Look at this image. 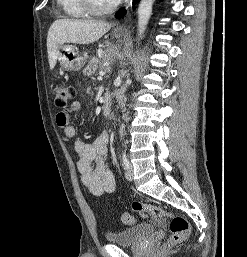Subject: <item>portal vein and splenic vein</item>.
<instances>
[{"mask_svg":"<svg viewBox=\"0 0 247 257\" xmlns=\"http://www.w3.org/2000/svg\"><path fill=\"white\" fill-rule=\"evenodd\" d=\"M99 75H100L99 77H102V76L105 75V73L104 72H100Z\"/></svg>","mask_w":247,"mask_h":257,"instance_id":"obj_1","label":"portal vein and splenic vein"}]
</instances>
